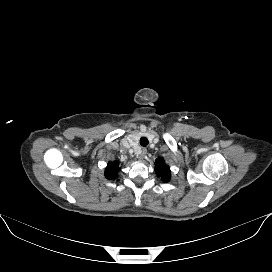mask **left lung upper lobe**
<instances>
[{
    "label": "left lung upper lobe",
    "instance_id": "left-lung-upper-lobe-1",
    "mask_svg": "<svg viewBox=\"0 0 272 272\" xmlns=\"http://www.w3.org/2000/svg\"><path fill=\"white\" fill-rule=\"evenodd\" d=\"M155 165H156L155 171L157 175L161 177L162 181L169 182L171 176L170 168L168 165L165 164L163 158L161 157L157 158L155 161Z\"/></svg>",
    "mask_w": 272,
    "mask_h": 272
}]
</instances>
